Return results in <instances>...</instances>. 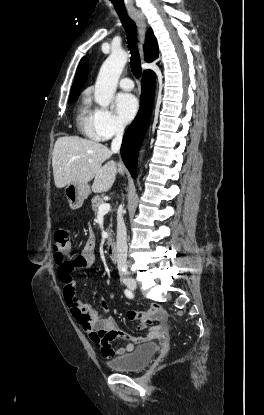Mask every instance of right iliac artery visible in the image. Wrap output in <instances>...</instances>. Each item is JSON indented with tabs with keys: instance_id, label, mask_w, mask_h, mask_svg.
<instances>
[{
	"instance_id": "obj_1",
	"label": "right iliac artery",
	"mask_w": 264,
	"mask_h": 415,
	"mask_svg": "<svg viewBox=\"0 0 264 415\" xmlns=\"http://www.w3.org/2000/svg\"><path fill=\"white\" fill-rule=\"evenodd\" d=\"M124 293H125L126 297H128V298H133L134 297V294L131 290L125 289Z\"/></svg>"
}]
</instances>
